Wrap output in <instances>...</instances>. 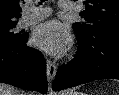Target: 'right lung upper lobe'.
<instances>
[{
	"label": "right lung upper lobe",
	"instance_id": "obj_1",
	"mask_svg": "<svg viewBox=\"0 0 119 95\" xmlns=\"http://www.w3.org/2000/svg\"><path fill=\"white\" fill-rule=\"evenodd\" d=\"M24 0H0V26L17 24L21 17L20 3Z\"/></svg>",
	"mask_w": 119,
	"mask_h": 95
}]
</instances>
